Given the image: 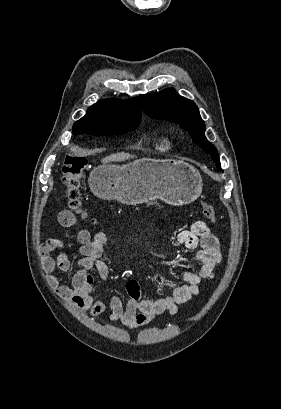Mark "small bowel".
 I'll return each mask as SVG.
<instances>
[{
	"mask_svg": "<svg viewBox=\"0 0 281 409\" xmlns=\"http://www.w3.org/2000/svg\"><path fill=\"white\" fill-rule=\"evenodd\" d=\"M58 220L63 227L77 228L81 257L77 262L78 270L72 277L71 285H59L57 274L67 272L71 262L65 253H61L57 258L50 255L51 252L63 248L61 240L52 238L43 243L39 247V254L42 266L49 274V284L69 304L88 311L92 316H98L109 308V321L120 322L129 330L149 324L160 314H177L179 305L198 295L200 283L212 279L222 261L217 237L203 221H191L188 230L176 235V242L190 250H196V258L201 266L182 274L183 285L175 287L171 296L150 300L140 296L138 282L131 279L126 283L129 296L126 302L119 296H112L107 302H103L93 295L96 279L89 271L95 267L102 279L108 278L109 269L101 260L107 236L100 232L91 237L89 231L80 227L75 215L67 209L60 211Z\"/></svg>",
	"mask_w": 281,
	"mask_h": 409,
	"instance_id": "small-bowel-1",
	"label": "small bowel"
}]
</instances>
